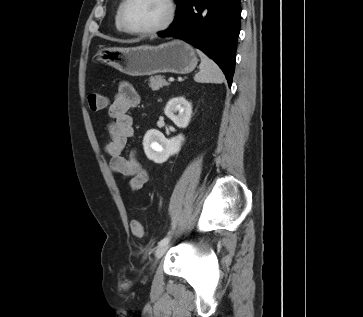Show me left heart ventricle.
Returning a JSON list of instances; mask_svg holds the SVG:
<instances>
[{"label": "left heart ventricle", "instance_id": "left-heart-ventricle-1", "mask_svg": "<svg viewBox=\"0 0 363 317\" xmlns=\"http://www.w3.org/2000/svg\"><path fill=\"white\" fill-rule=\"evenodd\" d=\"M167 15L164 0H131L125 19L132 29H149L161 24Z\"/></svg>", "mask_w": 363, "mask_h": 317}]
</instances>
